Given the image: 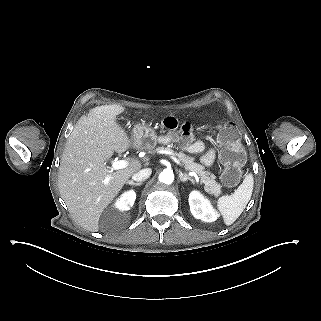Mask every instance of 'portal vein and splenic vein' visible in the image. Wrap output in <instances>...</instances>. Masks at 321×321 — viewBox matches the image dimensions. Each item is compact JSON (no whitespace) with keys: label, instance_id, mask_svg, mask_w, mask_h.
Wrapping results in <instances>:
<instances>
[{"label":"portal vein and splenic vein","instance_id":"obj_1","mask_svg":"<svg viewBox=\"0 0 321 321\" xmlns=\"http://www.w3.org/2000/svg\"><path fill=\"white\" fill-rule=\"evenodd\" d=\"M171 159H173V161H176L177 165L178 166H181V163L179 160H176V158H174V156H171ZM127 165L126 162L124 161H121V160H113L111 162V170L109 171V175H107V177L105 178V184L106 185H109L110 181L112 180V175L111 173L115 170H119V169H122L124 168L125 166Z\"/></svg>","mask_w":321,"mask_h":321}]
</instances>
